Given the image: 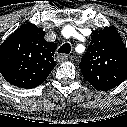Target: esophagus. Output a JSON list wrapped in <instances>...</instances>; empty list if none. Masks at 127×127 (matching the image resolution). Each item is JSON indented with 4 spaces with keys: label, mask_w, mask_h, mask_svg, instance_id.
Returning <instances> with one entry per match:
<instances>
[{
    "label": "esophagus",
    "mask_w": 127,
    "mask_h": 127,
    "mask_svg": "<svg viewBox=\"0 0 127 127\" xmlns=\"http://www.w3.org/2000/svg\"><path fill=\"white\" fill-rule=\"evenodd\" d=\"M69 56L65 55V54H58L56 59L58 62H64L66 60H68Z\"/></svg>",
    "instance_id": "34e87169"
}]
</instances>
